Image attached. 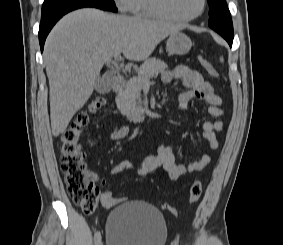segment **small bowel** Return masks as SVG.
<instances>
[{
	"label": "small bowel",
	"instance_id": "small-bowel-1",
	"mask_svg": "<svg viewBox=\"0 0 283 245\" xmlns=\"http://www.w3.org/2000/svg\"><path fill=\"white\" fill-rule=\"evenodd\" d=\"M164 84H170L174 80H179L186 87V90L179 94L178 103L181 110H185L193 99L201 100L208 105V113L211 117L219 119L224 115L221 107L222 99L217 95L212 86L204 80L202 75L187 66H176L171 70H166L161 76ZM223 123L220 120L215 122H205L202 125L203 137L208 141L212 150L218 148L216 133L221 131ZM129 127H115L111 138L120 140L127 136ZM211 162V155L202 151L198 160L189 164H177L176 152L173 147L160 144L155 154L147 156L141 165L134 166L130 161H122L111 169L112 175L120 174L123 171L133 170L139 175H158L159 168L162 167L171 180H177L180 176L189 175L203 170Z\"/></svg>",
	"mask_w": 283,
	"mask_h": 245
}]
</instances>
